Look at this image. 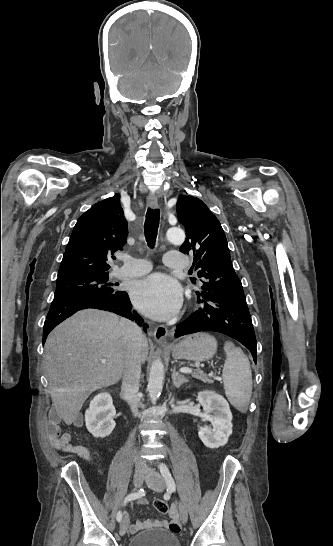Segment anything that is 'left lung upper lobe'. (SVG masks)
Segmentation results:
<instances>
[{
  "instance_id": "obj_1",
  "label": "left lung upper lobe",
  "mask_w": 333,
  "mask_h": 546,
  "mask_svg": "<svg viewBox=\"0 0 333 546\" xmlns=\"http://www.w3.org/2000/svg\"><path fill=\"white\" fill-rule=\"evenodd\" d=\"M178 221L185 227L186 239L180 251L193 254V267L203 278L197 293L214 296H243L242 284L232 266L227 240L219 220L198 198L180 196Z\"/></svg>"
}]
</instances>
